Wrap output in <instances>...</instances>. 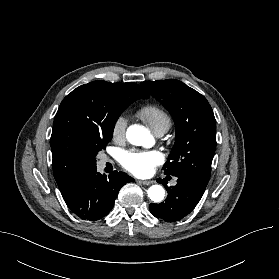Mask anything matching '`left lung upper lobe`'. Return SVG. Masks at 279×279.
<instances>
[{
    "mask_svg": "<svg viewBox=\"0 0 279 279\" xmlns=\"http://www.w3.org/2000/svg\"><path fill=\"white\" fill-rule=\"evenodd\" d=\"M141 86L162 102L175 122V144L164 173L207 185L216 149V121L208 101L175 79L141 82Z\"/></svg>",
    "mask_w": 279,
    "mask_h": 279,
    "instance_id": "left-lung-upper-lobe-1",
    "label": "left lung upper lobe"
}]
</instances>
